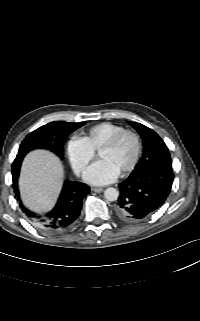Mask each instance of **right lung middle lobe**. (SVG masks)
<instances>
[{
	"instance_id": "dd1d6c3e",
	"label": "right lung middle lobe",
	"mask_w": 200,
	"mask_h": 321,
	"mask_svg": "<svg viewBox=\"0 0 200 321\" xmlns=\"http://www.w3.org/2000/svg\"><path fill=\"white\" fill-rule=\"evenodd\" d=\"M84 124L85 122L55 121L41 126L25 137L16 157L25 156L34 149H46L63 159V146L66 138Z\"/></svg>"
}]
</instances>
